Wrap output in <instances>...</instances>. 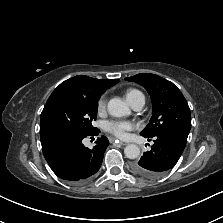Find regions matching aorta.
Returning <instances> with one entry per match:
<instances>
[{"label":"aorta","instance_id":"1","mask_svg":"<svg viewBox=\"0 0 223 223\" xmlns=\"http://www.w3.org/2000/svg\"><path fill=\"white\" fill-rule=\"evenodd\" d=\"M108 112L114 117L130 115L128 105L120 98H113L108 102ZM124 154L129 159H136L140 155V149L136 144H128L124 149Z\"/></svg>","mask_w":223,"mask_h":223}]
</instances>
